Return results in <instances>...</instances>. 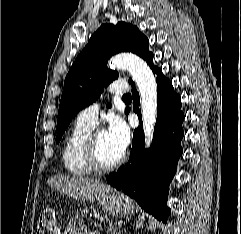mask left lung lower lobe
I'll return each instance as SVG.
<instances>
[{"instance_id":"1","label":"left lung lower lobe","mask_w":241,"mask_h":234,"mask_svg":"<svg viewBox=\"0 0 241 234\" xmlns=\"http://www.w3.org/2000/svg\"><path fill=\"white\" fill-rule=\"evenodd\" d=\"M152 60L153 54L146 59L157 75L158 87L157 119L152 145L145 149L141 110L138 108L139 94L134 83L130 82L135 103L133 110L138 114L141 126L134 131L129 162L117 172L110 173L106 179L113 187L135 199L145 211L167 222L170 214L166 205L168 186L183 152L181 140L184 136V114L180 110V96L174 92L170 80L162 74L161 69L153 65Z\"/></svg>"}]
</instances>
